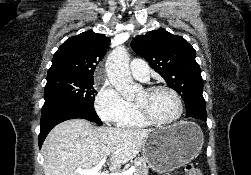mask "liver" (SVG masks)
I'll return each instance as SVG.
<instances>
[{
  "mask_svg": "<svg viewBox=\"0 0 251 175\" xmlns=\"http://www.w3.org/2000/svg\"><path fill=\"white\" fill-rule=\"evenodd\" d=\"M148 133L136 127H94L87 119L62 121L42 145L44 175H82L74 169L96 167L107 155L109 167H120L138 155Z\"/></svg>",
  "mask_w": 251,
  "mask_h": 175,
  "instance_id": "6515ba94",
  "label": "liver"
}]
</instances>
